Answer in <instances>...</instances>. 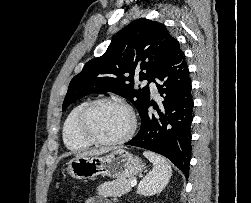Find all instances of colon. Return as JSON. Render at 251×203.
I'll return each instance as SVG.
<instances>
[{"instance_id": "colon-1", "label": "colon", "mask_w": 251, "mask_h": 203, "mask_svg": "<svg viewBox=\"0 0 251 203\" xmlns=\"http://www.w3.org/2000/svg\"><path fill=\"white\" fill-rule=\"evenodd\" d=\"M56 203H70L67 199L61 198L56 201Z\"/></svg>"}]
</instances>
